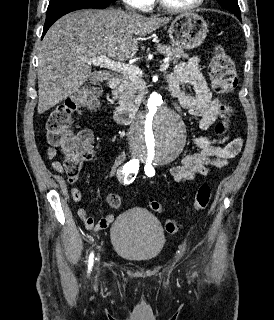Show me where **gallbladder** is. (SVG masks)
I'll use <instances>...</instances> for the list:
<instances>
[{
	"mask_svg": "<svg viewBox=\"0 0 274 320\" xmlns=\"http://www.w3.org/2000/svg\"><path fill=\"white\" fill-rule=\"evenodd\" d=\"M90 83L95 85L97 82H101L102 79H107L108 74L107 72H90Z\"/></svg>",
	"mask_w": 274,
	"mask_h": 320,
	"instance_id": "bac80fb5",
	"label": "gallbladder"
}]
</instances>
